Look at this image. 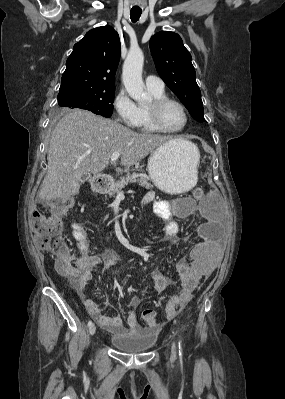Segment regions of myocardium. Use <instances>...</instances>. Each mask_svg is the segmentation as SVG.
Returning <instances> with one entry per match:
<instances>
[{"mask_svg":"<svg viewBox=\"0 0 285 399\" xmlns=\"http://www.w3.org/2000/svg\"><path fill=\"white\" fill-rule=\"evenodd\" d=\"M170 103H174L177 106H179L184 115V123L181 127L170 128L167 127L163 122V110ZM148 113L153 126L157 130H160L165 133H174L181 131L182 129L185 128V126L188 123V113L185 106L179 100L172 97L164 96L158 99H153V101L148 106Z\"/></svg>","mask_w":285,"mask_h":399,"instance_id":"myocardium-1","label":"myocardium"}]
</instances>
